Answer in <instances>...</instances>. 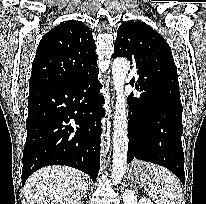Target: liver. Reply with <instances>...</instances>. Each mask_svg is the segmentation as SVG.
Wrapping results in <instances>:
<instances>
[{
    "label": "liver",
    "mask_w": 206,
    "mask_h": 204,
    "mask_svg": "<svg viewBox=\"0 0 206 204\" xmlns=\"http://www.w3.org/2000/svg\"><path fill=\"white\" fill-rule=\"evenodd\" d=\"M89 187L88 176L68 166H47L26 181L27 204H81Z\"/></svg>",
    "instance_id": "liver-1"
}]
</instances>
